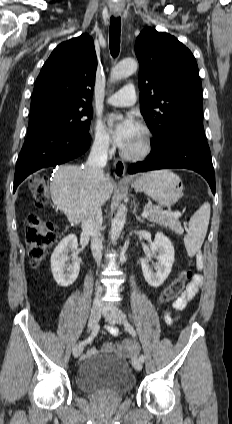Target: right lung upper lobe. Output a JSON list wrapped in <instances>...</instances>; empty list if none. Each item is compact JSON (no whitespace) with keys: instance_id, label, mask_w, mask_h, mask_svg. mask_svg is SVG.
Segmentation results:
<instances>
[{"instance_id":"right-lung-upper-lobe-1","label":"right lung upper lobe","mask_w":232,"mask_h":424,"mask_svg":"<svg viewBox=\"0 0 232 424\" xmlns=\"http://www.w3.org/2000/svg\"><path fill=\"white\" fill-rule=\"evenodd\" d=\"M96 69L94 43L89 35L61 43L40 71L30 107L49 103L91 106Z\"/></svg>"}]
</instances>
